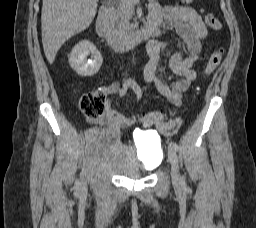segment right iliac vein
I'll use <instances>...</instances> for the list:
<instances>
[{
    "instance_id": "1",
    "label": "right iliac vein",
    "mask_w": 256,
    "mask_h": 228,
    "mask_svg": "<svg viewBox=\"0 0 256 228\" xmlns=\"http://www.w3.org/2000/svg\"><path fill=\"white\" fill-rule=\"evenodd\" d=\"M91 143H92V140L90 139V137H87L84 144L86 152L90 151L89 147ZM88 180H89V174L87 172H83L81 175V187H84L87 184Z\"/></svg>"
}]
</instances>
